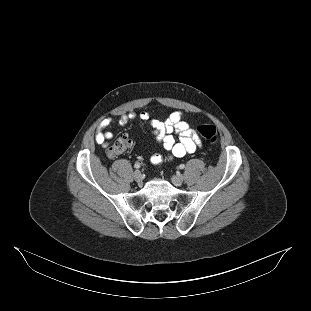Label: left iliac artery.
<instances>
[{
    "instance_id": "44dca946",
    "label": "left iliac artery",
    "mask_w": 311,
    "mask_h": 311,
    "mask_svg": "<svg viewBox=\"0 0 311 311\" xmlns=\"http://www.w3.org/2000/svg\"><path fill=\"white\" fill-rule=\"evenodd\" d=\"M179 168H180V169H184V168H185V165H184V164H180V165H179Z\"/></svg>"
}]
</instances>
